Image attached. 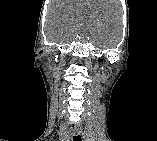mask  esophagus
<instances>
[{
	"mask_svg": "<svg viewBox=\"0 0 157 141\" xmlns=\"http://www.w3.org/2000/svg\"><path fill=\"white\" fill-rule=\"evenodd\" d=\"M81 131H82V129L79 128V127H75V128H74V134H75V135H79V134L81 133Z\"/></svg>",
	"mask_w": 157,
	"mask_h": 141,
	"instance_id": "1",
	"label": "esophagus"
}]
</instances>
